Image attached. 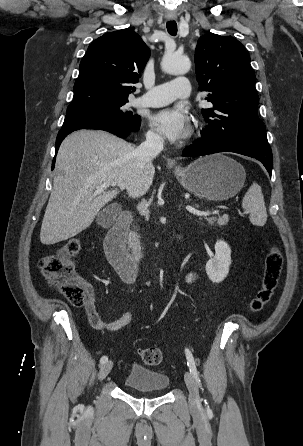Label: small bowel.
I'll return each instance as SVG.
<instances>
[{
	"label": "small bowel",
	"mask_w": 303,
	"mask_h": 446,
	"mask_svg": "<svg viewBox=\"0 0 303 446\" xmlns=\"http://www.w3.org/2000/svg\"><path fill=\"white\" fill-rule=\"evenodd\" d=\"M197 279L198 274L195 272H191L186 276V282H194ZM84 288L88 296V300L84 307V312L89 324L94 329L100 331L116 330L127 325L133 319V313L127 312L117 320L110 322L103 321L95 306L93 290L87 284H84Z\"/></svg>",
	"instance_id": "1"
}]
</instances>
